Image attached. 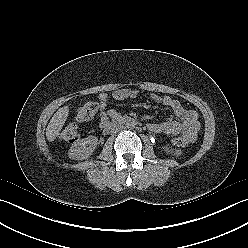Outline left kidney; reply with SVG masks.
I'll list each match as a JSON object with an SVG mask.
<instances>
[{
	"label": "left kidney",
	"mask_w": 248,
	"mask_h": 248,
	"mask_svg": "<svg viewBox=\"0 0 248 248\" xmlns=\"http://www.w3.org/2000/svg\"><path fill=\"white\" fill-rule=\"evenodd\" d=\"M165 150H166L167 152H171V151H172V150L170 149V147H166ZM175 154H176V155H181V151H180V150H175Z\"/></svg>",
	"instance_id": "1"
}]
</instances>
